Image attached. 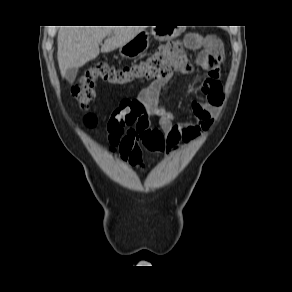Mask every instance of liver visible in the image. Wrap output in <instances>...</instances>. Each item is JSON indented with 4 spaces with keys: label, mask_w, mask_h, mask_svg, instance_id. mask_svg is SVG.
I'll return each instance as SVG.
<instances>
[{
    "label": "liver",
    "mask_w": 292,
    "mask_h": 292,
    "mask_svg": "<svg viewBox=\"0 0 292 292\" xmlns=\"http://www.w3.org/2000/svg\"><path fill=\"white\" fill-rule=\"evenodd\" d=\"M143 31L139 26H62L58 32L57 59L62 76L70 68H79L99 53L122 47Z\"/></svg>",
    "instance_id": "6515ba94"
}]
</instances>
